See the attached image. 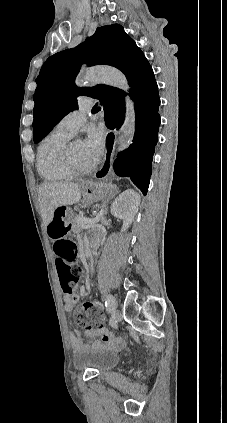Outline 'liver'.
<instances>
[{"label": "liver", "mask_w": 227, "mask_h": 423, "mask_svg": "<svg viewBox=\"0 0 227 423\" xmlns=\"http://www.w3.org/2000/svg\"><path fill=\"white\" fill-rule=\"evenodd\" d=\"M87 184V182H82ZM82 184L72 182H44L38 190V202L41 215L46 223L53 219V213L58 206H73L81 198Z\"/></svg>", "instance_id": "obj_1"}]
</instances>
